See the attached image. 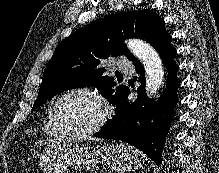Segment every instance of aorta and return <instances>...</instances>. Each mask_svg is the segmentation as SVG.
I'll list each match as a JSON object with an SVG mask.
<instances>
[{
	"label": "aorta",
	"mask_w": 219,
	"mask_h": 173,
	"mask_svg": "<svg viewBox=\"0 0 219 173\" xmlns=\"http://www.w3.org/2000/svg\"><path fill=\"white\" fill-rule=\"evenodd\" d=\"M126 45L143 63L146 71V94L150 98L154 97L164 80L163 64L159 54L152 46L139 39H129Z\"/></svg>",
	"instance_id": "obj_1"
}]
</instances>
